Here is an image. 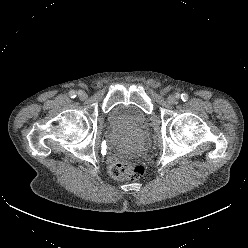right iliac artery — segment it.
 Masks as SVG:
<instances>
[{"mask_svg": "<svg viewBox=\"0 0 248 248\" xmlns=\"http://www.w3.org/2000/svg\"><path fill=\"white\" fill-rule=\"evenodd\" d=\"M69 95H70L71 98H75L77 93L75 91H70Z\"/></svg>", "mask_w": 248, "mask_h": 248, "instance_id": "82829eb1", "label": "right iliac artery"}]
</instances>
